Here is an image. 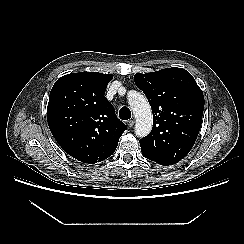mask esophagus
<instances>
[{"label": "esophagus", "mask_w": 244, "mask_h": 244, "mask_svg": "<svg viewBox=\"0 0 244 244\" xmlns=\"http://www.w3.org/2000/svg\"><path fill=\"white\" fill-rule=\"evenodd\" d=\"M133 125H134V121H133V120H129V121H127V126H128L129 128H131Z\"/></svg>", "instance_id": "34e87169"}]
</instances>
